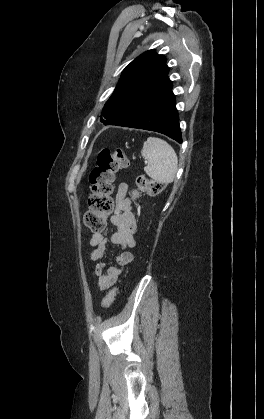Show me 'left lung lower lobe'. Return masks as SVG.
I'll return each instance as SVG.
<instances>
[{"mask_svg": "<svg viewBox=\"0 0 264 419\" xmlns=\"http://www.w3.org/2000/svg\"><path fill=\"white\" fill-rule=\"evenodd\" d=\"M129 108L121 115H112L103 123L159 132L182 143L175 96L169 79L147 87Z\"/></svg>", "mask_w": 264, "mask_h": 419, "instance_id": "obj_1", "label": "left lung lower lobe"}]
</instances>
